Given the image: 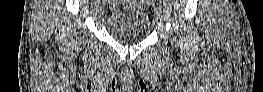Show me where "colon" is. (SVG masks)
<instances>
[{
  "label": "colon",
  "mask_w": 263,
  "mask_h": 92,
  "mask_svg": "<svg viewBox=\"0 0 263 92\" xmlns=\"http://www.w3.org/2000/svg\"><path fill=\"white\" fill-rule=\"evenodd\" d=\"M145 2V3H144ZM155 2V1H140V5H144L146 3Z\"/></svg>",
  "instance_id": "5ec220e1"
}]
</instances>
